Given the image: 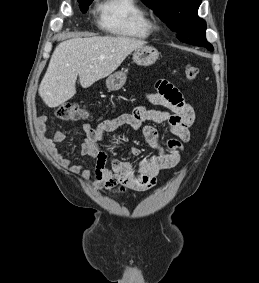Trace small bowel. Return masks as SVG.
Segmentation results:
<instances>
[{
	"mask_svg": "<svg viewBox=\"0 0 259 283\" xmlns=\"http://www.w3.org/2000/svg\"><path fill=\"white\" fill-rule=\"evenodd\" d=\"M147 97L152 105L163 106L166 109L137 106L132 112L103 120L97 126L89 123L81 125L84 135L81 153L95 160L93 169L84 168L83 165L63 157L57 148L66 138V134L62 131L55 132L50 143L55 158L63 167L82 179L94 178L95 185L100 189L124 193L127 190L144 191L152 188L161 170L174 168L180 164L183 143L190 139L189 128L194 122L195 114L178 89L165 80L157 82L156 92ZM49 119L51 116L42 115L36 120V127L40 133L45 132ZM146 122L166 124L174 137L161 143L158 130L153 125L145 124ZM122 126L141 130L144 139L157 154L142 159L136 167L110 155L101 143L106 135ZM130 152L136 157L142 153L138 147H132ZM107 162L111 163L110 168L106 166Z\"/></svg>",
	"mask_w": 259,
	"mask_h": 283,
	"instance_id": "c3829d8e",
	"label": "small bowel"
}]
</instances>
